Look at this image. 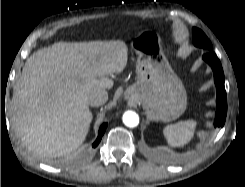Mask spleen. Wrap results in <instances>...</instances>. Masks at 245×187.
<instances>
[{
	"label": "spleen",
	"instance_id": "3e777b00",
	"mask_svg": "<svg viewBox=\"0 0 245 187\" xmlns=\"http://www.w3.org/2000/svg\"><path fill=\"white\" fill-rule=\"evenodd\" d=\"M196 126L194 120L180 121L166 126L163 133L170 146L182 147L193 138Z\"/></svg>",
	"mask_w": 245,
	"mask_h": 187
}]
</instances>
